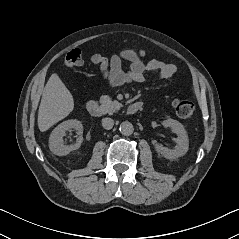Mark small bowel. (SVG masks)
<instances>
[{
	"mask_svg": "<svg viewBox=\"0 0 239 239\" xmlns=\"http://www.w3.org/2000/svg\"><path fill=\"white\" fill-rule=\"evenodd\" d=\"M123 60L130 61L127 71L122 69ZM90 61L100 67L101 76L110 88L130 82L142 83L145 80V73H156L162 79H171L176 73L173 65L156 59L145 62L132 51H121L110 58L95 53Z\"/></svg>",
	"mask_w": 239,
	"mask_h": 239,
	"instance_id": "small-bowel-1",
	"label": "small bowel"
}]
</instances>
